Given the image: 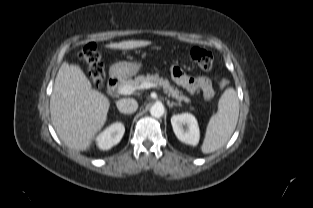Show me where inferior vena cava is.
<instances>
[{"label": "inferior vena cava", "instance_id": "inferior-vena-cava-1", "mask_svg": "<svg viewBox=\"0 0 313 208\" xmlns=\"http://www.w3.org/2000/svg\"><path fill=\"white\" fill-rule=\"evenodd\" d=\"M116 105L118 110L124 114H132L138 108L137 101L130 98L120 99L116 102Z\"/></svg>", "mask_w": 313, "mask_h": 208}]
</instances>
